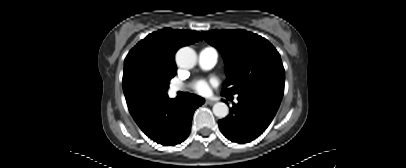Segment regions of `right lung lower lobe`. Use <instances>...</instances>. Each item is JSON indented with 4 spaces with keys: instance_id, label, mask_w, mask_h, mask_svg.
<instances>
[{
    "instance_id": "right-lung-lower-lobe-1",
    "label": "right lung lower lobe",
    "mask_w": 406,
    "mask_h": 168,
    "mask_svg": "<svg viewBox=\"0 0 406 168\" xmlns=\"http://www.w3.org/2000/svg\"><path fill=\"white\" fill-rule=\"evenodd\" d=\"M204 101L194 94H186L181 102L167 97L131 115L150 139L164 146H174L189 136L193 113Z\"/></svg>"
}]
</instances>
